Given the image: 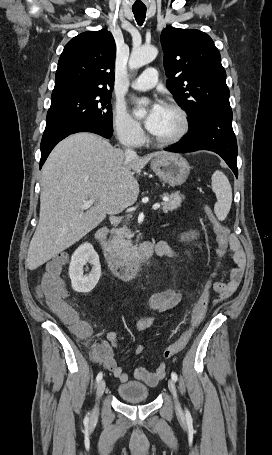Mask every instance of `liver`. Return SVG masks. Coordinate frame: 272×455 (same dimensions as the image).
<instances>
[{
  "instance_id": "obj_1",
  "label": "liver",
  "mask_w": 272,
  "mask_h": 455,
  "mask_svg": "<svg viewBox=\"0 0 272 455\" xmlns=\"http://www.w3.org/2000/svg\"><path fill=\"white\" fill-rule=\"evenodd\" d=\"M167 152L126 159L122 150L92 133L61 141L42 168L39 222L30 242L27 267L35 270L87 233L107 214L133 205L139 195L134 177ZM94 205L84 211L85 201Z\"/></svg>"
}]
</instances>
